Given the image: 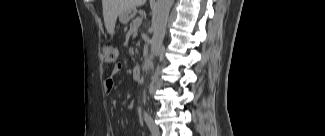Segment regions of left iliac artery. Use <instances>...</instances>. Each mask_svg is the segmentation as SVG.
Segmentation results:
<instances>
[{
  "label": "left iliac artery",
  "instance_id": "44dca946",
  "mask_svg": "<svg viewBox=\"0 0 325 136\" xmlns=\"http://www.w3.org/2000/svg\"><path fill=\"white\" fill-rule=\"evenodd\" d=\"M144 119L149 129L152 130L154 124L152 117L148 113H144Z\"/></svg>",
  "mask_w": 325,
  "mask_h": 136
}]
</instances>
